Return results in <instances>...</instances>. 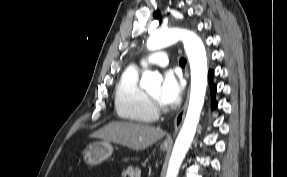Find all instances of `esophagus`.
Listing matches in <instances>:
<instances>
[{
    "mask_svg": "<svg viewBox=\"0 0 287 177\" xmlns=\"http://www.w3.org/2000/svg\"><path fill=\"white\" fill-rule=\"evenodd\" d=\"M187 104H188V95H187V99L185 101V104L184 106L182 107L181 111L177 114L176 118H175V123H174V133H173V136L176 135V133L178 132L182 122H183V119H184V116H185V112H186V109H187ZM172 142H173V138L172 137H168L163 145L165 146H168V145H172Z\"/></svg>",
    "mask_w": 287,
    "mask_h": 177,
    "instance_id": "1",
    "label": "esophagus"
}]
</instances>
